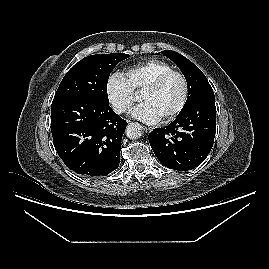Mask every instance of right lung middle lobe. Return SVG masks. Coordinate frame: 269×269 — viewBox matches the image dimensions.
Listing matches in <instances>:
<instances>
[{"mask_svg":"<svg viewBox=\"0 0 269 269\" xmlns=\"http://www.w3.org/2000/svg\"><path fill=\"white\" fill-rule=\"evenodd\" d=\"M128 54L90 55L76 63L64 76L55 98L79 96L109 104L107 82L111 71Z\"/></svg>","mask_w":269,"mask_h":269,"instance_id":"right-lung-middle-lobe-1","label":"right lung middle lobe"}]
</instances>
